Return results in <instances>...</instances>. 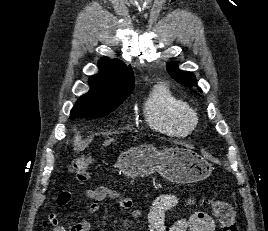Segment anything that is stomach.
Segmentation results:
<instances>
[{
  "mask_svg": "<svg viewBox=\"0 0 268 231\" xmlns=\"http://www.w3.org/2000/svg\"><path fill=\"white\" fill-rule=\"evenodd\" d=\"M117 167L130 178L145 177L157 171L173 183H194L208 178L212 164L193 150L180 147L161 151L151 145H139L122 152Z\"/></svg>",
  "mask_w": 268,
  "mask_h": 231,
  "instance_id": "obj_1",
  "label": "stomach"
}]
</instances>
